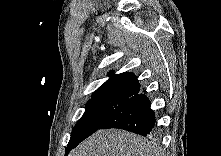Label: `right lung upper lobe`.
Returning a JSON list of instances; mask_svg holds the SVG:
<instances>
[{
	"mask_svg": "<svg viewBox=\"0 0 221 156\" xmlns=\"http://www.w3.org/2000/svg\"><path fill=\"white\" fill-rule=\"evenodd\" d=\"M110 78L92 95V98L121 99L123 101L140 92L136 76L130 72L110 73Z\"/></svg>",
	"mask_w": 221,
	"mask_h": 156,
	"instance_id": "obj_1",
	"label": "right lung upper lobe"
}]
</instances>
